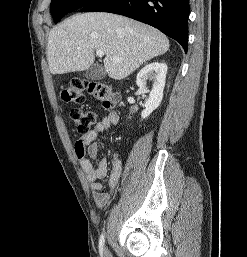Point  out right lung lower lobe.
Listing matches in <instances>:
<instances>
[{
    "label": "right lung lower lobe",
    "mask_w": 247,
    "mask_h": 257,
    "mask_svg": "<svg viewBox=\"0 0 247 257\" xmlns=\"http://www.w3.org/2000/svg\"><path fill=\"white\" fill-rule=\"evenodd\" d=\"M81 12H110L149 24L187 52L189 0H93Z\"/></svg>",
    "instance_id": "1"
}]
</instances>
